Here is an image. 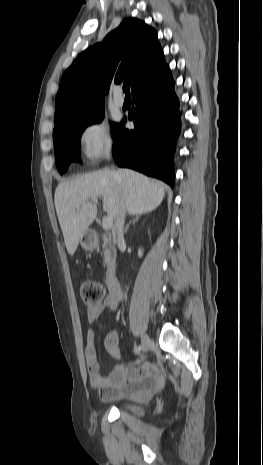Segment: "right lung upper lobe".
I'll list each match as a JSON object with an SVG mask.
<instances>
[{"instance_id": "cb5924a9", "label": "right lung upper lobe", "mask_w": 263, "mask_h": 465, "mask_svg": "<svg viewBox=\"0 0 263 465\" xmlns=\"http://www.w3.org/2000/svg\"><path fill=\"white\" fill-rule=\"evenodd\" d=\"M167 66L157 32L127 18L101 44L82 52L63 74L54 123L68 114L104 104L111 81L129 83L132 92Z\"/></svg>"}]
</instances>
